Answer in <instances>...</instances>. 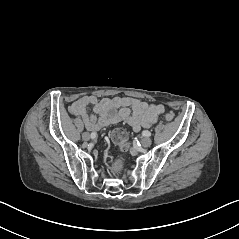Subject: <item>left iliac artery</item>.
I'll use <instances>...</instances> for the list:
<instances>
[{
  "mask_svg": "<svg viewBox=\"0 0 239 239\" xmlns=\"http://www.w3.org/2000/svg\"><path fill=\"white\" fill-rule=\"evenodd\" d=\"M142 135L145 136V137H150L151 133L148 130H145V131L142 132Z\"/></svg>",
  "mask_w": 239,
  "mask_h": 239,
  "instance_id": "left-iliac-artery-1",
  "label": "left iliac artery"
}]
</instances>
